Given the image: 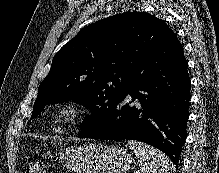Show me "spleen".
Wrapping results in <instances>:
<instances>
[{
	"instance_id": "obj_1",
	"label": "spleen",
	"mask_w": 219,
	"mask_h": 173,
	"mask_svg": "<svg viewBox=\"0 0 219 173\" xmlns=\"http://www.w3.org/2000/svg\"><path fill=\"white\" fill-rule=\"evenodd\" d=\"M127 143L141 161L135 173H170L172 163L164 153L143 142L128 140Z\"/></svg>"
}]
</instances>
